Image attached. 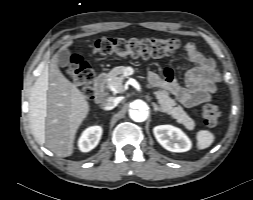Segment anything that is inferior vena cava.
<instances>
[{
	"instance_id": "inferior-vena-cava-1",
	"label": "inferior vena cava",
	"mask_w": 253,
	"mask_h": 200,
	"mask_svg": "<svg viewBox=\"0 0 253 200\" xmlns=\"http://www.w3.org/2000/svg\"><path fill=\"white\" fill-rule=\"evenodd\" d=\"M117 104H118V99L117 98L109 97V98H107L106 100L103 101L101 106L104 110H111Z\"/></svg>"
}]
</instances>
